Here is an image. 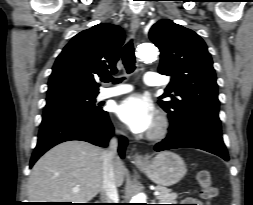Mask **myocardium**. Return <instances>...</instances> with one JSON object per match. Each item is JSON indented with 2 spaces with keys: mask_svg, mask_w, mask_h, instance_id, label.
Returning a JSON list of instances; mask_svg holds the SVG:
<instances>
[{
  "mask_svg": "<svg viewBox=\"0 0 253 205\" xmlns=\"http://www.w3.org/2000/svg\"><path fill=\"white\" fill-rule=\"evenodd\" d=\"M168 127H169V124H168V120L166 119V117L163 115L159 116L155 126L148 134V139L159 140V139L164 138L168 132Z\"/></svg>",
  "mask_w": 253,
  "mask_h": 205,
  "instance_id": "1",
  "label": "myocardium"
}]
</instances>
